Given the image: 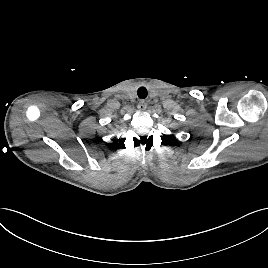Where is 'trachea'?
<instances>
[{"label": "trachea", "instance_id": "obj_1", "mask_svg": "<svg viewBox=\"0 0 268 268\" xmlns=\"http://www.w3.org/2000/svg\"><path fill=\"white\" fill-rule=\"evenodd\" d=\"M138 97L141 99H145L147 97V89L145 87H140L137 91Z\"/></svg>", "mask_w": 268, "mask_h": 268}]
</instances>
